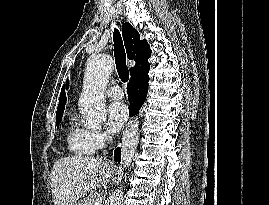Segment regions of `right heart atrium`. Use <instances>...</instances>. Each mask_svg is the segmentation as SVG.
<instances>
[{"mask_svg":"<svg viewBox=\"0 0 269 205\" xmlns=\"http://www.w3.org/2000/svg\"><path fill=\"white\" fill-rule=\"evenodd\" d=\"M86 138L93 151L100 150L110 141V136L103 131H86Z\"/></svg>","mask_w":269,"mask_h":205,"instance_id":"obj_1","label":"right heart atrium"}]
</instances>
